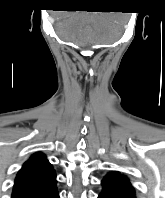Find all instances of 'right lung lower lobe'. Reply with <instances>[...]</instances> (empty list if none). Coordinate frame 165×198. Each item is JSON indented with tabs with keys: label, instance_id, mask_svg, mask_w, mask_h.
<instances>
[{
	"label": "right lung lower lobe",
	"instance_id": "98d812e1",
	"mask_svg": "<svg viewBox=\"0 0 165 198\" xmlns=\"http://www.w3.org/2000/svg\"><path fill=\"white\" fill-rule=\"evenodd\" d=\"M37 198H59V194H58L57 188L55 187L54 189L48 191L47 193Z\"/></svg>",
	"mask_w": 165,
	"mask_h": 198
}]
</instances>
